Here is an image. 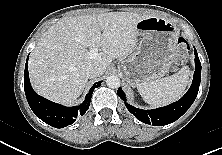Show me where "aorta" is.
Returning <instances> with one entry per match:
<instances>
[{
    "label": "aorta",
    "instance_id": "762f6f07",
    "mask_svg": "<svg viewBox=\"0 0 222 155\" xmlns=\"http://www.w3.org/2000/svg\"><path fill=\"white\" fill-rule=\"evenodd\" d=\"M106 84L108 87L113 88V89L119 88L120 78L116 75H111V76L107 77Z\"/></svg>",
    "mask_w": 222,
    "mask_h": 155
}]
</instances>
